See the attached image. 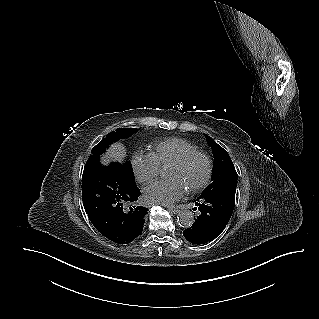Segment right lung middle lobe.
Listing matches in <instances>:
<instances>
[{"label": "right lung middle lobe", "mask_w": 319, "mask_h": 319, "mask_svg": "<svg viewBox=\"0 0 319 319\" xmlns=\"http://www.w3.org/2000/svg\"><path fill=\"white\" fill-rule=\"evenodd\" d=\"M137 129L134 128H118L113 132H110L109 134L106 135L104 139H102L92 150H91V156L95 155L99 157L102 153L105 152L106 148L113 142L118 141L119 139H124L129 136H131L134 132H136ZM128 166V169L132 173V166L129 162L126 163Z\"/></svg>", "instance_id": "1"}]
</instances>
